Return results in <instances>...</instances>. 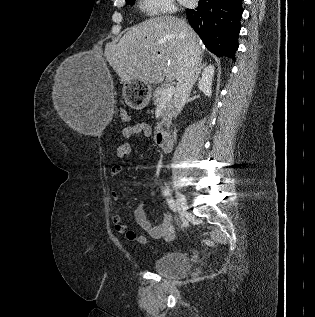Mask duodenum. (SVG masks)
<instances>
[{
    "label": "duodenum",
    "instance_id": "410a0bca",
    "mask_svg": "<svg viewBox=\"0 0 315 317\" xmlns=\"http://www.w3.org/2000/svg\"><path fill=\"white\" fill-rule=\"evenodd\" d=\"M155 140L162 150L170 152L173 148L172 135L164 130H159L155 134Z\"/></svg>",
    "mask_w": 315,
    "mask_h": 317
}]
</instances>
